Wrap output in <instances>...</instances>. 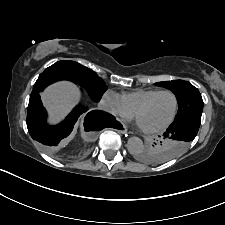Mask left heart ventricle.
<instances>
[{
  "mask_svg": "<svg viewBox=\"0 0 225 225\" xmlns=\"http://www.w3.org/2000/svg\"><path fill=\"white\" fill-rule=\"evenodd\" d=\"M174 106L175 101L171 94H161L140 112L137 120L144 128L159 127L169 120Z\"/></svg>",
  "mask_w": 225,
  "mask_h": 225,
  "instance_id": "b2bd125f",
  "label": "left heart ventricle"
}]
</instances>
